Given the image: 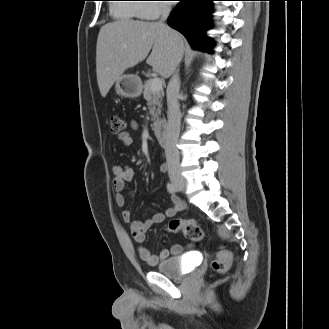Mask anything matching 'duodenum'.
I'll return each instance as SVG.
<instances>
[{
  "label": "duodenum",
  "instance_id": "duodenum-1",
  "mask_svg": "<svg viewBox=\"0 0 329 329\" xmlns=\"http://www.w3.org/2000/svg\"><path fill=\"white\" fill-rule=\"evenodd\" d=\"M152 129L160 144L163 145L164 147H167L168 137H167L166 123L162 119H156L152 123Z\"/></svg>",
  "mask_w": 329,
  "mask_h": 329
}]
</instances>
